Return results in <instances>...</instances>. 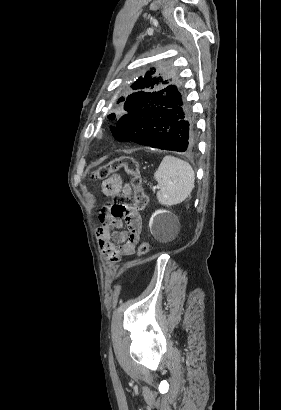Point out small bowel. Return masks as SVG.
I'll list each match as a JSON object with an SVG mask.
<instances>
[{"label": "small bowel", "instance_id": "obj_1", "mask_svg": "<svg viewBox=\"0 0 281 410\" xmlns=\"http://www.w3.org/2000/svg\"><path fill=\"white\" fill-rule=\"evenodd\" d=\"M104 195L115 197L129 191L118 176H112L103 184ZM100 226L96 231L99 244L108 260L118 261L123 256L134 254L142 230V219L137 213L115 217L104 207L99 215ZM126 224L127 232L119 231Z\"/></svg>", "mask_w": 281, "mask_h": 410}]
</instances>
